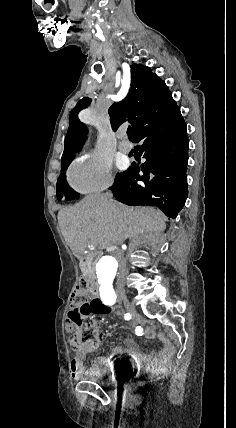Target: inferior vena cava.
<instances>
[{
	"label": "inferior vena cava",
	"instance_id": "inferior-vena-cava-1",
	"mask_svg": "<svg viewBox=\"0 0 236 428\" xmlns=\"http://www.w3.org/2000/svg\"><path fill=\"white\" fill-rule=\"evenodd\" d=\"M112 196H113V194H110V192H109V194H106L105 198H106V200H109V198H112ZM118 241H119V236L113 235L112 241L109 243V246L111 247L112 251H110L109 253L112 254L116 258V260L118 261V267H119L120 273H119V277H118V282L116 283V286H117L116 287V290H117L116 295L119 298H122L125 296V291H124L125 287L124 286L126 285V282L124 281V278H125L124 273L126 272L125 270H126L127 264H126L125 258L123 257L122 249L116 248L118 246V243H117Z\"/></svg>",
	"mask_w": 236,
	"mask_h": 428
}]
</instances>
